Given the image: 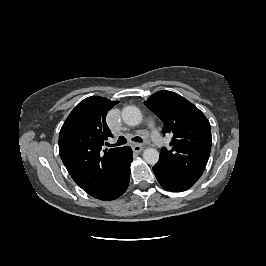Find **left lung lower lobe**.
Instances as JSON below:
<instances>
[{"mask_svg": "<svg viewBox=\"0 0 266 266\" xmlns=\"http://www.w3.org/2000/svg\"><path fill=\"white\" fill-rule=\"evenodd\" d=\"M154 174L160 185L171 192H182L193 186L199 178L196 177H183L176 175L161 164L157 163L153 167Z\"/></svg>", "mask_w": 266, "mask_h": 266, "instance_id": "1", "label": "left lung lower lobe"}]
</instances>
